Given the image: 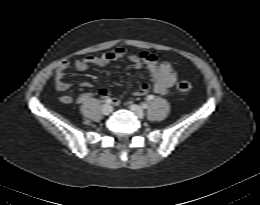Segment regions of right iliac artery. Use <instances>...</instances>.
Listing matches in <instances>:
<instances>
[{"label":"right iliac artery","instance_id":"82829eb1","mask_svg":"<svg viewBox=\"0 0 260 205\" xmlns=\"http://www.w3.org/2000/svg\"><path fill=\"white\" fill-rule=\"evenodd\" d=\"M104 102L107 103V104H109V103H111V100L107 98V99H105Z\"/></svg>","mask_w":260,"mask_h":205}]
</instances>
